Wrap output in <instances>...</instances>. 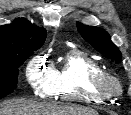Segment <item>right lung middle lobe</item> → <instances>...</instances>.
Listing matches in <instances>:
<instances>
[{"label": "right lung middle lobe", "instance_id": "right-lung-middle-lobe-1", "mask_svg": "<svg viewBox=\"0 0 131 115\" xmlns=\"http://www.w3.org/2000/svg\"><path fill=\"white\" fill-rule=\"evenodd\" d=\"M35 49L22 51L0 64V99L12 93L17 86L18 67L33 54Z\"/></svg>", "mask_w": 131, "mask_h": 115}]
</instances>
